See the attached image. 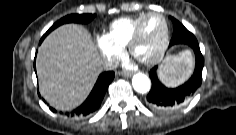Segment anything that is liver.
<instances>
[{
  "instance_id": "liver-1",
  "label": "liver",
  "mask_w": 236,
  "mask_h": 135,
  "mask_svg": "<svg viewBox=\"0 0 236 135\" xmlns=\"http://www.w3.org/2000/svg\"><path fill=\"white\" fill-rule=\"evenodd\" d=\"M102 58L89 32L77 24L52 31L38 48L39 91L58 110L80 105L102 71Z\"/></svg>"
}]
</instances>
